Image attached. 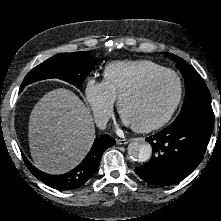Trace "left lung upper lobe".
I'll list each match as a JSON object with an SVG mask.
<instances>
[{
    "label": "left lung upper lobe",
    "mask_w": 221,
    "mask_h": 221,
    "mask_svg": "<svg viewBox=\"0 0 221 221\" xmlns=\"http://www.w3.org/2000/svg\"><path fill=\"white\" fill-rule=\"evenodd\" d=\"M166 55L176 62L185 80L184 103L180 114L174 122L196 110L213 112L209 90L198 72L191 65L186 63L185 60L170 53H166Z\"/></svg>",
    "instance_id": "1"
}]
</instances>
